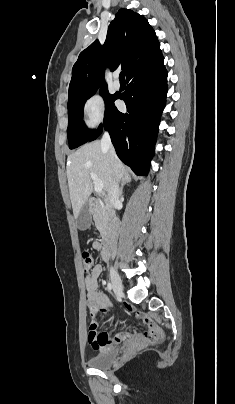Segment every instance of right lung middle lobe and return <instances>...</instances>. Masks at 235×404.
<instances>
[{
    "label": "right lung middle lobe",
    "mask_w": 235,
    "mask_h": 404,
    "mask_svg": "<svg viewBox=\"0 0 235 404\" xmlns=\"http://www.w3.org/2000/svg\"><path fill=\"white\" fill-rule=\"evenodd\" d=\"M93 94L94 93L68 102L69 124L67 128V134L70 149H74L89 141V139L95 132V130H88L82 119L84 104L86 100L90 98ZM100 94L103 96L105 100L106 112H107L113 106L114 101L117 98L115 95H110L107 89L101 90Z\"/></svg>",
    "instance_id": "dd1d6c3e"
}]
</instances>
